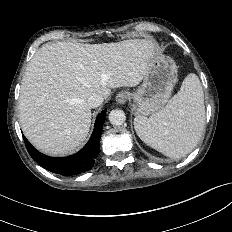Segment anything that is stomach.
<instances>
[{
    "mask_svg": "<svg viewBox=\"0 0 232 232\" xmlns=\"http://www.w3.org/2000/svg\"><path fill=\"white\" fill-rule=\"evenodd\" d=\"M175 61L165 55H154L147 68L142 84L132 94L137 116L158 112L169 100L178 80Z\"/></svg>",
    "mask_w": 232,
    "mask_h": 232,
    "instance_id": "stomach-1",
    "label": "stomach"
}]
</instances>
